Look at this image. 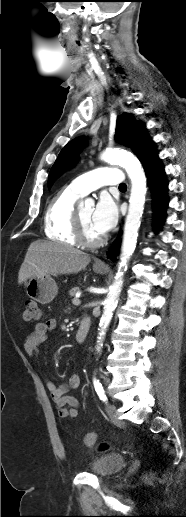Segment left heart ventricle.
I'll return each instance as SVG.
<instances>
[{
	"label": "left heart ventricle",
	"instance_id": "obj_1",
	"mask_svg": "<svg viewBox=\"0 0 186 517\" xmlns=\"http://www.w3.org/2000/svg\"><path fill=\"white\" fill-rule=\"evenodd\" d=\"M93 207H86L79 211L83 225L85 227V231L89 237L95 238L101 236L99 232H97L94 227L92 226V214H93Z\"/></svg>",
	"mask_w": 186,
	"mask_h": 517
}]
</instances>
